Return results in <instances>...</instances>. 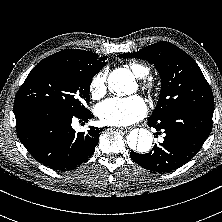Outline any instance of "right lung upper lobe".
I'll list each match as a JSON object with an SVG mask.
<instances>
[{
    "instance_id": "1",
    "label": "right lung upper lobe",
    "mask_w": 222,
    "mask_h": 222,
    "mask_svg": "<svg viewBox=\"0 0 222 222\" xmlns=\"http://www.w3.org/2000/svg\"><path fill=\"white\" fill-rule=\"evenodd\" d=\"M106 59V56L98 57L97 54L85 50L65 49L43 59L35 68L49 65H67L80 67L91 66L102 69Z\"/></svg>"
}]
</instances>
